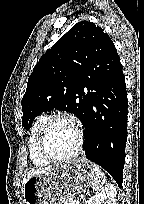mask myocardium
Listing matches in <instances>:
<instances>
[{
	"label": "myocardium",
	"instance_id": "f54148a6",
	"mask_svg": "<svg viewBox=\"0 0 144 204\" xmlns=\"http://www.w3.org/2000/svg\"><path fill=\"white\" fill-rule=\"evenodd\" d=\"M57 120H68L72 122L77 131V143L72 153L66 156H53L46 148L45 140L51 125ZM84 144V128L82 122L74 115L68 113H57L49 116L43 124L37 139V149L39 154L49 162H66L76 158L82 151Z\"/></svg>",
	"mask_w": 144,
	"mask_h": 204
}]
</instances>
